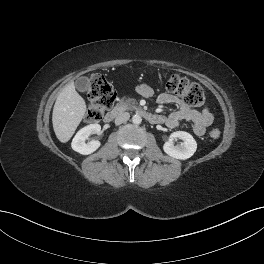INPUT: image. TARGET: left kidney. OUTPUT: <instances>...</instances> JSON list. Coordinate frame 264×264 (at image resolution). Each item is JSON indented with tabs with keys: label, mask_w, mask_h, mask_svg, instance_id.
Masks as SVG:
<instances>
[{
	"label": "left kidney",
	"mask_w": 264,
	"mask_h": 264,
	"mask_svg": "<svg viewBox=\"0 0 264 264\" xmlns=\"http://www.w3.org/2000/svg\"><path fill=\"white\" fill-rule=\"evenodd\" d=\"M177 138L183 140L181 146L174 145L173 140ZM196 149L197 143L195 139L191 134L184 131L173 132L170 135L169 140L163 145V150L166 154L180 160H185L193 156V154L196 152Z\"/></svg>",
	"instance_id": "left-kidney-1"
}]
</instances>
